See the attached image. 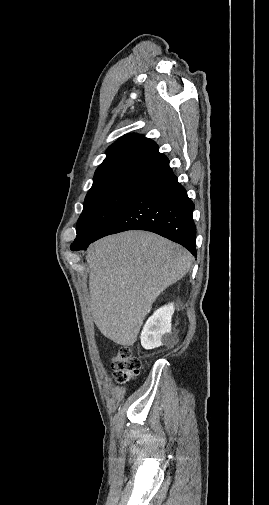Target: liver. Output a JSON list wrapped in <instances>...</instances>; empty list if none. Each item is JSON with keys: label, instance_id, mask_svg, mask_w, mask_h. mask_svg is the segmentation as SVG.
I'll list each match as a JSON object with an SVG mask.
<instances>
[{"label": "liver", "instance_id": "6515ba94", "mask_svg": "<svg viewBox=\"0 0 269 505\" xmlns=\"http://www.w3.org/2000/svg\"><path fill=\"white\" fill-rule=\"evenodd\" d=\"M90 309L101 333L132 346L157 297L189 270L193 256L181 245L146 231H126L91 244Z\"/></svg>", "mask_w": 269, "mask_h": 505}]
</instances>
